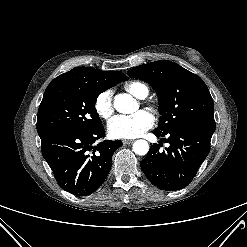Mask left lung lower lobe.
I'll list each match as a JSON object with an SVG mask.
<instances>
[{
	"label": "left lung lower lobe",
	"instance_id": "obj_1",
	"mask_svg": "<svg viewBox=\"0 0 247 247\" xmlns=\"http://www.w3.org/2000/svg\"><path fill=\"white\" fill-rule=\"evenodd\" d=\"M153 133L157 137L167 135L170 146L162 151L161 144H154L140 162L142 171L161 190L183 189L207 157L212 134L191 127H179L169 132L154 130Z\"/></svg>",
	"mask_w": 247,
	"mask_h": 247
}]
</instances>
